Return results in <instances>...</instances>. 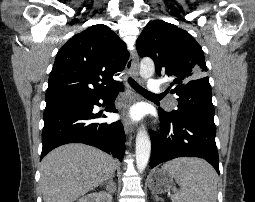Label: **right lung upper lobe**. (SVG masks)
I'll return each mask as SVG.
<instances>
[{
	"instance_id": "cb5924a9",
	"label": "right lung upper lobe",
	"mask_w": 255,
	"mask_h": 202,
	"mask_svg": "<svg viewBox=\"0 0 255 202\" xmlns=\"http://www.w3.org/2000/svg\"><path fill=\"white\" fill-rule=\"evenodd\" d=\"M129 58L125 43L108 27L93 25L58 51L46 91V108L106 94ZM45 108V109H46Z\"/></svg>"
}]
</instances>
